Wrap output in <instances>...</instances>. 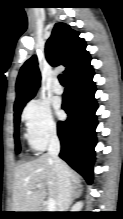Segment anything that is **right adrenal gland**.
Segmentation results:
<instances>
[{
	"mask_svg": "<svg viewBox=\"0 0 123 219\" xmlns=\"http://www.w3.org/2000/svg\"><path fill=\"white\" fill-rule=\"evenodd\" d=\"M82 193H83L82 185L74 184L73 187H72L70 204H72L74 199L79 198L82 195Z\"/></svg>",
	"mask_w": 123,
	"mask_h": 219,
	"instance_id": "obj_1",
	"label": "right adrenal gland"
}]
</instances>
